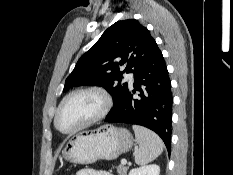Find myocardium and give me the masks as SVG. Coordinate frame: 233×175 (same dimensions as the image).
I'll list each match as a JSON object with an SVG mask.
<instances>
[{"mask_svg": "<svg viewBox=\"0 0 233 175\" xmlns=\"http://www.w3.org/2000/svg\"><path fill=\"white\" fill-rule=\"evenodd\" d=\"M81 93H94L97 96L100 97V99L102 100V107L99 110V112L97 114H95L93 117L89 118L88 120H86L85 122L81 123L80 125H78L77 127L70 129V130H63L59 127L58 125V117H59V113L63 107V105L73 96L77 95V94H81ZM113 105V100L112 97L110 96V94L103 89L102 87L99 86H86V87H81V88H77L74 89L72 91H70L68 94H66L62 100L60 101L59 105L57 106V109L55 111V116H54V125L56 127V129L62 133L65 134H71V133H75L101 119H103L111 110Z\"/></svg>", "mask_w": 233, "mask_h": 175, "instance_id": "1", "label": "myocardium"}]
</instances>
